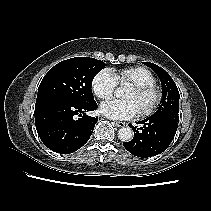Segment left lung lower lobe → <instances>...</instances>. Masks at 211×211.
Returning <instances> with one entry per match:
<instances>
[{
	"label": "left lung lower lobe",
	"mask_w": 211,
	"mask_h": 211,
	"mask_svg": "<svg viewBox=\"0 0 211 211\" xmlns=\"http://www.w3.org/2000/svg\"><path fill=\"white\" fill-rule=\"evenodd\" d=\"M138 124H143V127L129 125L134 130V137L123 145L131 154L143 158L165 151L172 142L178 127L177 122L155 116H150Z\"/></svg>",
	"instance_id": "0a47b994"
}]
</instances>
